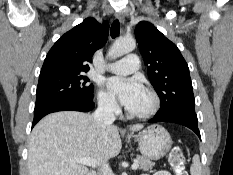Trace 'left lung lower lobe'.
Instances as JSON below:
<instances>
[{"mask_svg": "<svg viewBox=\"0 0 233 175\" xmlns=\"http://www.w3.org/2000/svg\"><path fill=\"white\" fill-rule=\"evenodd\" d=\"M148 122L154 123V122H171V123H177L180 125H184L188 128H190L192 131H194L198 137L201 139L200 132L197 126V115L195 113V110L192 109H182L173 111L167 114L158 115L156 114L152 119H150Z\"/></svg>", "mask_w": 233, "mask_h": 175, "instance_id": "0a47b994", "label": "left lung lower lobe"}]
</instances>
